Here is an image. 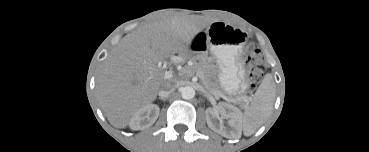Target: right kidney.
I'll list each match as a JSON object with an SVG mask.
<instances>
[{
    "mask_svg": "<svg viewBox=\"0 0 369 152\" xmlns=\"http://www.w3.org/2000/svg\"><path fill=\"white\" fill-rule=\"evenodd\" d=\"M160 108L156 104H149L139 109L132 116L129 127L132 130H144L152 126L159 116Z\"/></svg>",
    "mask_w": 369,
    "mask_h": 152,
    "instance_id": "obj_1",
    "label": "right kidney"
}]
</instances>
